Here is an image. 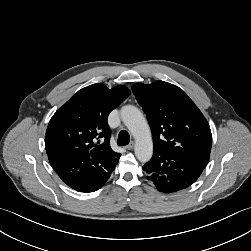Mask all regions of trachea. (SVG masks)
I'll return each instance as SVG.
<instances>
[{
  "mask_svg": "<svg viewBox=\"0 0 251 251\" xmlns=\"http://www.w3.org/2000/svg\"><path fill=\"white\" fill-rule=\"evenodd\" d=\"M130 142V136L129 133L125 130L120 131L118 135L117 143L119 146H125L128 145Z\"/></svg>",
  "mask_w": 251,
  "mask_h": 251,
  "instance_id": "obj_1",
  "label": "trachea"
}]
</instances>
